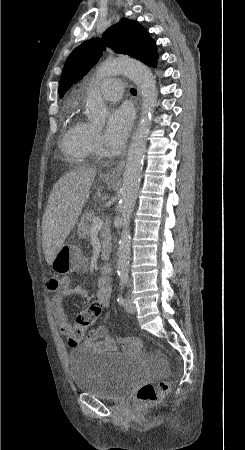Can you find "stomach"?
I'll return each mask as SVG.
<instances>
[{
	"label": "stomach",
	"mask_w": 245,
	"mask_h": 450,
	"mask_svg": "<svg viewBox=\"0 0 245 450\" xmlns=\"http://www.w3.org/2000/svg\"><path fill=\"white\" fill-rule=\"evenodd\" d=\"M82 265V254L79 248L72 244H64L57 252L51 267L59 274H69Z\"/></svg>",
	"instance_id": "0dacf381"
}]
</instances>
